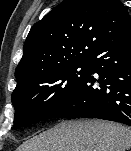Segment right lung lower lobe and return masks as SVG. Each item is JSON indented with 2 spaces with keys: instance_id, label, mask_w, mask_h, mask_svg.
<instances>
[{
  "instance_id": "1",
  "label": "right lung lower lobe",
  "mask_w": 131,
  "mask_h": 151,
  "mask_svg": "<svg viewBox=\"0 0 131 151\" xmlns=\"http://www.w3.org/2000/svg\"><path fill=\"white\" fill-rule=\"evenodd\" d=\"M89 65V77L53 117L99 118L131 126V33L99 47Z\"/></svg>"
}]
</instances>
